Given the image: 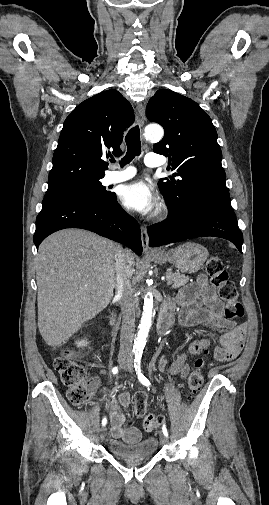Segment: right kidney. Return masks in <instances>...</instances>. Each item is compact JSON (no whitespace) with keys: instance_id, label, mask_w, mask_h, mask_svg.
<instances>
[{"instance_id":"ca27d5eb","label":"right kidney","mask_w":269,"mask_h":505,"mask_svg":"<svg viewBox=\"0 0 269 505\" xmlns=\"http://www.w3.org/2000/svg\"><path fill=\"white\" fill-rule=\"evenodd\" d=\"M77 345H78V347L85 346V345H87V342H85L84 340H82L80 342H77Z\"/></svg>"}]
</instances>
